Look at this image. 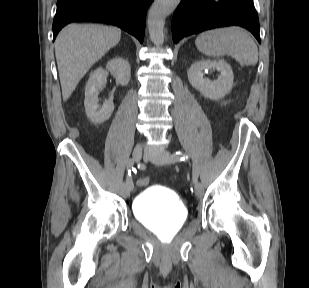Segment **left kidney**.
Listing matches in <instances>:
<instances>
[{"label":"left kidney","mask_w":309,"mask_h":288,"mask_svg":"<svg viewBox=\"0 0 309 288\" xmlns=\"http://www.w3.org/2000/svg\"><path fill=\"white\" fill-rule=\"evenodd\" d=\"M216 69L220 76L211 81L203 77V71ZM190 84L204 97L217 100L228 94L233 86L234 75L230 65L224 60L202 59L196 61L188 70Z\"/></svg>","instance_id":"5707ae66"}]
</instances>
